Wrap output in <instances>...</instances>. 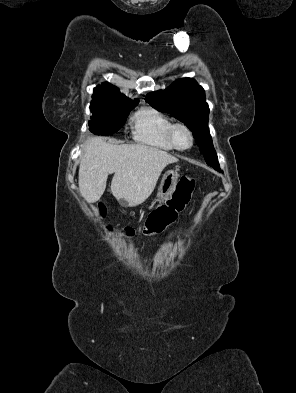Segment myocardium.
<instances>
[{
	"mask_svg": "<svg viewBox=\"0 0 296 393\" xmlns=\"http://www.w3.org/2000/svg\"><path fill=\"white\" fill-rule=\"evenodd\" d=\"M178 128H183V129H185V130L188 132L189 136H190V144H189V146H187V147H185V148L180 147V146L177 144V142H176V139H175V132H176V130H177ZM168 136H169V140H170L171 144L173 145V147H174L175 149L179 150V151H185V150L190 149V148L193 146L194 140H195L192 129H191L186 123H183V122L172 123V125H171V127H170V129H169V134H168Z\"/></svg>",
	"mask_w": 296,
	"mask_h": 393,
	"instance_id": "myocardium-1",
	"label": "myocardium"
}]
</instances>
